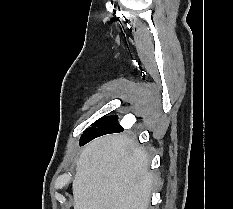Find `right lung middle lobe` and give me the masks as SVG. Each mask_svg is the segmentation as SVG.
Here are the masks:
<instances>
[{
  "label": "right lung middle lobe",
  "mask_w": 233,
  "mask_h": 209,
  "mask_svg": "<svg viewBox=\"0 0 233 209\" xmlns=\"http://www.w3.org/2000/svg\"><path fill=\"white\" fill-rule=\"evenodd\" d=\"M115 126H120L118 124V117L117 116H109V117H104L93 123L92 127L88 128L82 135L81 139L89 137L95 132L107 129V128H112ZM81 141V140H80Z\"/></svg>",
  "instance_id": "1"
}]
</instances>
